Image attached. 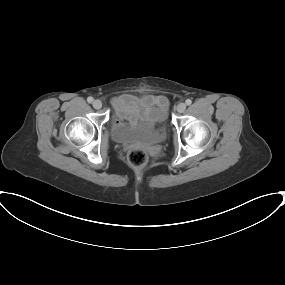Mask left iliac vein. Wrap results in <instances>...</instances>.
<instances>
[{
    "label": "left iliac vein",
    "mask_w": 285,
    "mask_h": 285,
    "mask_svg": "<svg viewBox=\"0 0 285 285\" xmlns=\"http://www.w3.org/2000/svg\"><path fill=\"white\" fill-rule=\"evenodd\" d=\"M176 109H177V111H178L179 113H182V112L185 111L186 105H185L184 103H179V104L177 105Z\"/></svg>",
    "instance_id": "4c4485c4"
}]
</instances>
